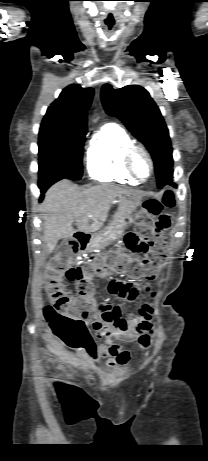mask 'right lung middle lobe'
Instances as JSON below:
<instances>
[{"mask_svg": "<svg viewBox=\"0 0 208 461\" xmlns=\"http://www.w3.org/2000/svg\"><path fill=\"white\" fill-rule=\"evenodd\" d=\"M86 133L41 124L39 131V186L54 179L80 180Z\"/></svg>", "mask_w": 208, "mask_h": 461, "instance_id": "obj_1", "label": "right lung middle lobe"}]
</instances>
